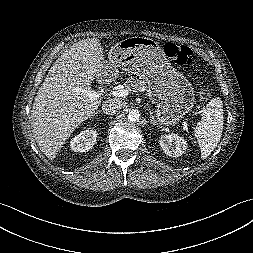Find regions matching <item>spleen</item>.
<instances>
[{
    "label": "spleen",
    "mask_w": 253,
    "mask_h": 253,
    "mask_svg": "<svg viewBox=\"0 0 253 253\" xmlns=\"http://www.w3.org/2000/svg\"><path fill=\"white\" fill-rule=\"evenodd\" d=\"M223 120L222 101L220 97H215L204 108L202 118L194 131L202 159L210 156L218 145L223 132Z\"/></svg>",
    "instance_id": "spleen-1"
}]
</instances>
